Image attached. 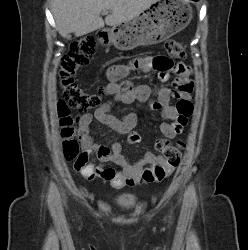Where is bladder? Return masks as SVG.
Instances as JSON below:
<instances>
[{
  "mask_svg": "<svg viewBox=\"0 0 248 250\" xmlns=\"http://www.w3.org/2000/svg\"><path fill=\"white\" fill-rule=\"evenodd\" d=\"M138 197L132 192H121L115 196V202L122 208H131L136 205Z\"/></svg>",
  "mask_w": 248,
  "mask_h": 250,
  "instance_id": "1",
  "label": "bladder"
}]
</instances>
